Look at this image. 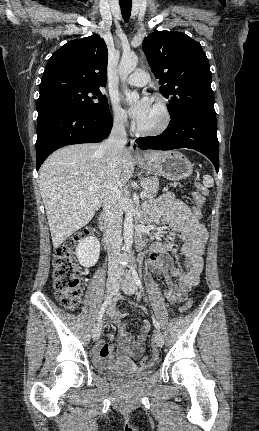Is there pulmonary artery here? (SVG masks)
I'll return each mask as SVG.
<instances>
[{
    "label": "pulmonary artery",
    "mask_w": 259,
    "mask_h": 431,
    "mask_svg": "<svg viewBox=\"0 0 259 431\" xmlns=\"http://www.w3.org/2000/svg\"><path fill=\"white\" fill-rule=\"evenodd\" d=\"M131 86L141 87L147 84L148 74L142 69H136L126 81Z\"/></svg>",
    "instance_id": "obj_1"
}]
</instances>
